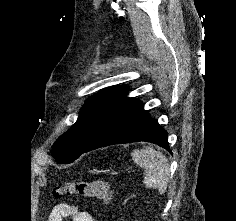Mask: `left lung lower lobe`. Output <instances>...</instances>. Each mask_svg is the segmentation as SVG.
I'll list each match as a JSON object with an SVG mask.
<instances>
[{
  "mask_svg": "<svg viewBox=\"0 0 236 221\" xmlns=\"http://www.w3.org/2000/svg\"><path fill=\"white\" fill-rule=\"evenodd\" d=\"M167 136V131L149 117L143 105L128 98L105 119L78 157L100 147L138 141L155 143L170 151Z\"/></svg>",
  "mask_w": 236,
  "mask_h": 221,
  "instance_id": "left-lung-lower-lobe-1",
  "label": "left lung lower lobe"
}]
</instances>
